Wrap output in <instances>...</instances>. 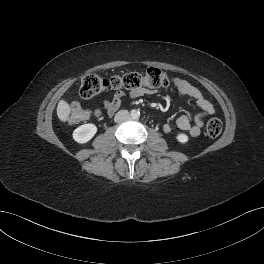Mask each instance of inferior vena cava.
<instances>
[{"instance_id":"inferior-vena-cava-1","label":"inferior vena cava","mask_w":264,"mask_h":264,"mask_svg":"<svg viewBox=\"0 0 264 264\" xmlns=\"http://www.w3.org/2000/svg\"><path fill=\"white\" fill-rule=\"evenodd\" d=\"M130 114L128 112V110H120L119 112H117V114L115 115V122H121L124 120H127L129 118Z\"/></svg>"}]
</instances>
